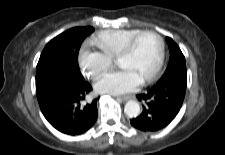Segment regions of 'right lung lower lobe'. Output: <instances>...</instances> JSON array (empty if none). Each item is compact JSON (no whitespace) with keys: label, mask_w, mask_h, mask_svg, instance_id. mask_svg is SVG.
<instances>
[{"label":"right lung lower lobe","mask_w":225,"mask_h":155,"mask_svg":"<svg viewBox=\"0 0 225 155\" xmlns=\"http://www.w3.org/2000/svg\"><path fill=\"white\" fill-rule=\"evenodd\" d=\"M91 89L81 74L68 72L54 77L36 94L47 121L62 133L76 135L91 128L97 119L96 100L82 105Z\"/></svg>","instance_id":"right-lung-lower-lobe-1"}]
</instances>
